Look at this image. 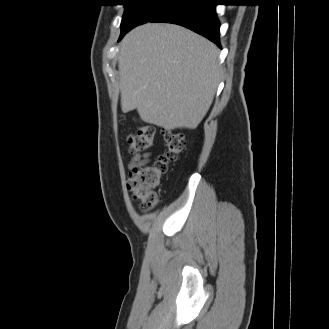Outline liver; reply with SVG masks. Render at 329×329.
Listing matches in <instances>:
<instances>
[{
	"label": "liver",
	"instance_id": "1",
	"mask_svg": "<svg viewBox=\"0 0 329 329\" xmlns=\"http://www.w3.org/2000/svg\"><path fill=\"white\" fill-rule=\"evenodd\" d=\"M217 47L178 25L147 23L130 31L119 52L121 108L142 121L194 129L208 112L220 79Z\"/></svg>",
	"mask_w": 329,
	"mask_h": 329
}]
</instances>
